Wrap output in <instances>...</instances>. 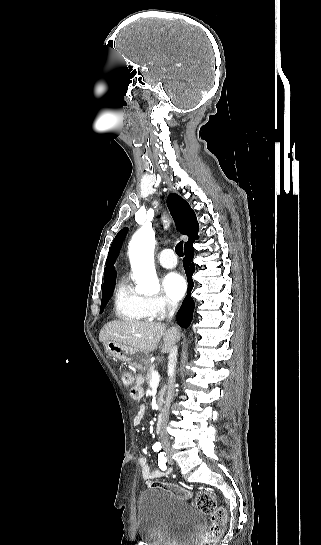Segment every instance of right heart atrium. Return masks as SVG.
Masks as SVG:
<instances>
[{"instance_id":"obj_1","label":"right heart atrium","mask_w":321,"mask_h":545,"mask_svg":"<svg viewBox=\"0 0 321 545\" xmlns=\"http://www.w3.org/2000/svg\"><path fill=\"white\" fill-rule=\"evenodd\" d=\"M143 307L150 319L163 320L176 310V305L163 298L142 300Z\"/></svg>"}]
</instances>
